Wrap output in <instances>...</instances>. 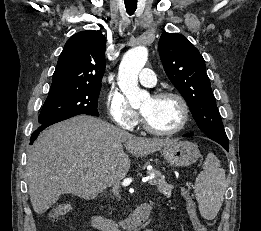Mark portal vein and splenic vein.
Instances as JSON below:
<instances>
[{"label": "portal vein and splenic vein", "mask_w": 261, "mask_h": 231, "mask_svg": "<svg viewBox=\"0 0 261 231\" xmlns=\"http://www.w3.org/2000/svg\"><path fill=\"white\" fill-rule=\"evenodd\" d=\"M153 179H154V175L152 174L149 177H147L146 180H143V182H148V184L153 185L154 184Z\"/></svg>", "instance_id": "18ae733b"}]
</instances>
